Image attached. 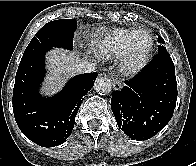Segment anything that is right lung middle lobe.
<instances>
[{
    "label": "right lung middle lobe",
    "mask_w": 196,
    "mask_h": 166,
    "mask_svg": "<svg viewBox=\"0 0 196 166\" xmlns=\"http://www.w3.org/2000/svg\"><path fill=\"white\" fill-rule=\"evenodd\" d=\"M76 23L77 21L74 19H62L45 24L32 38L24 54L52 47H64L72 50Z\"/></svg>",
    "instance_id": "obj_1"
}]
</instances>
